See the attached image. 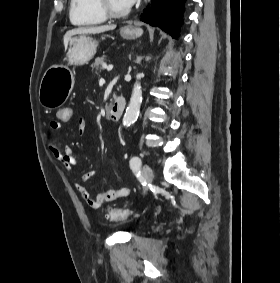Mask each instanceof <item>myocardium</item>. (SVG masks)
Returning a JSON list of instances; mask_svg holds the SVG:
<instances>
[{"label":"myocardium","instance_id":"myocardium-1","mask_svg":"<svg viewBox=\"0 0 280 283\" xmlns=\"http://www.w3.org/2000/svg\"><path fill=\"white\" fill-rule=\"evenodd\" d=\"M95 1H96V5H97L98 9L101 11V13L106 18H121V17H125L131 11L130 7H128L127 9H125L123 11H115V10H113L109 6L108 0H95Z\"/></svg>","mask_w":280,"mask_h":283}]
</instances>
